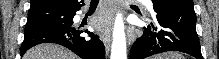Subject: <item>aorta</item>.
<instances>
[{"instance_id": "1", "label": "aorta", "mask_w": 219, "mask_h": 59, "mask_svg": "<svg viewBox=\"0 0 219 59\" xmlns=\"http://www.w3.org/2000/svg\"><path fill=\"white\" fill-rule=\"evenodd\" d=\"M110 59H127V45L122 14L115 18Z\"/></svg>"}]
</instances>
